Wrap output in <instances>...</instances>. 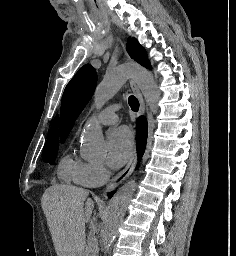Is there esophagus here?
Masks as SVG:
<instances>
[{"mask_svg": "<svg viewBox=\"0 0 236 256\" xmlns=\"http://www.w3.org/2000/svg\"><path fill=\"white\" fill-rule=\"evenodd\" d=\"M130 86L132 88V91L137 96V99L139 100V112L138 116H141L145 113V103L142 97V94L137 87L136 83L134 81L130 80ZM137 163V152L134 151L132 154V157L129 161V163L125 166V168L120 171V173L106 186L104 193H107L108 191H111L112 189L116 188L122 181H124L128 176L131 174L133 169L135 168Z\"/></svg>", "mask_w": 236, "mask_h": 256, "instance_id": "34e87169", "label": "esophagus"}]
</instances>
